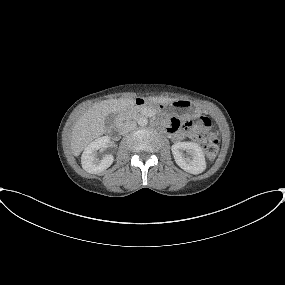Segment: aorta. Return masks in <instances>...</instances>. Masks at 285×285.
Instances as JSON below:
<instances>
[{"label": "aorta", "instance_id": "762f6f07", "mask_svg": "<svg viewBox=\"0 0 285 285\" xmlns=\"http://www.w3.org/2000/svg\"><path fill=\"white\" fill-rule=\"evenodd\" d=\"M147 124H148V119H147L146 117H140V118L138 119V125H139V126L144 127V126H146Z\"/></svg>", "mask_w": 285, "mask_h": 285}]
</instances>
